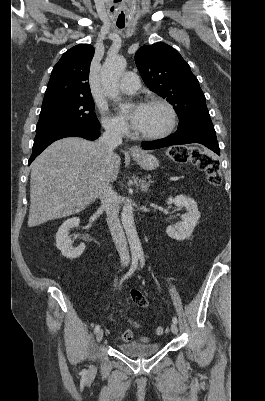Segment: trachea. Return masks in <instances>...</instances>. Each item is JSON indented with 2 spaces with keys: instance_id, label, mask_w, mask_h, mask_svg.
<instances>
[{
  "instance_id": "obj_1",
  "label": "trachea",
  "mask_w": 265,
  "mask_h": 401,
  "mask_svg": "<svg viewBox=\"0 0 265 401\" xmlns=\"http://www.w3.org/2000/svg\"><path fill=\"white\" fill-rule=\"evenodd\" d=\"M117 27L118 28H124L125 27V23H117Z\"/></svg>"
}]
</instances>
